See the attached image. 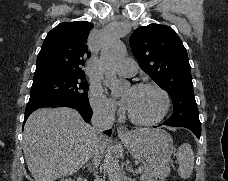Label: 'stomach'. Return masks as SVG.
<instances>
[{
	"mask_svg": "<svg viewBox=\"0 0 228 181\" xmlns=\"http://www.w3.org/2000/svg\"><path fill=\"white\" fill-rule=\"evenodd\" d=\"M132 157L147 169L150 179L161 181L169 177L171 171V155L173 153L172 137L163 129H138L130 135H120Z\"/></svg>",
	"mask_w": 228,
	"mask_h": 181,
	"instance_id": "obj_1",
	"label": "stomach"
}]
</instances>
